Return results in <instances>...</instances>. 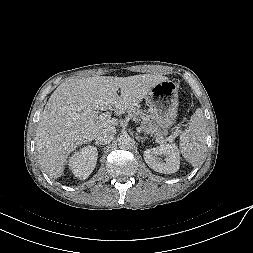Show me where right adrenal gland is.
Returning <instances> with one entry per match:
<instances>
[{
  "label": "right adrenal gland",
  "mask_w": 253,
  "mask_h": 253,
  "mask_svg": "<svg viewBox=\"0 0 253 253\" xmlns=\"http://www.w3.org/2000/svg\"><path fill=\"white\" fill-rule=\"evenodd\" d=\"M95 145L98 146V147H101V144L95 142Z\"/></svg>",
  "instance_id": "2a0ac1e0"
}]
</instances>
